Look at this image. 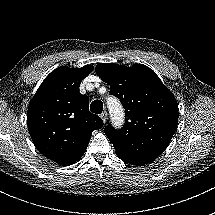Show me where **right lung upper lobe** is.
<instances>
[{
    "instance_id": "right-lung-upper-lobe-1",
    "label": "right lung upper lobe",
    "mask_w": 215,
    "mask_h": 215,
    "mask_svg": "<svg viewBox=\"0 0 215 215\" xmlns=\"http://www.w3.org/2000/svg\"><path fill=\"white\" fill-rule=\"evenodd\" d=\"M93 70L59 67L42 82L27 112L28 130L36 148L48 159L68 166L85 153L92 132L102 119L89 112V99L79 92L81 81Z\"/></svg>"
}]
</instances>
